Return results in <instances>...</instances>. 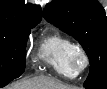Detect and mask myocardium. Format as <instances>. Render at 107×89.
I'll return each mask as SVG.
<instances>
[{
    "instance_id": "obj_1",
    "label": "myocardium",
    "mask_w": 107,
    "mask_h": 89,
    "mask_svg": "<svg viewBox=\"0 0 107 89\" xmlns=\"http://www.w3.org/2000/svg\"><path fill=\"white\" fill-rule=\"evenodd\" d=\"M69 66L75 75L85 71L89 66L87 53L78 46L74 47L69 54Z\"/></svg>"
}]
</instances>
